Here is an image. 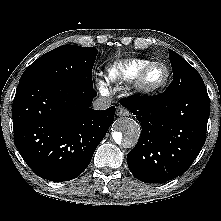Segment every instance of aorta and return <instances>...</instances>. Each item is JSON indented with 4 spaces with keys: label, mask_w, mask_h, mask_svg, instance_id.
<instances>
[{
    "label": "aorta",
    "mask_w": 221,
    "mask_h": 221,
    "mask_svg": "<svg viewBox=\"0 0 221 221\" xmlns=\"http://www.w3.org/2000/svg\"><path fill=\"white\" fill-rule=\"evenodd\" d=\"M140 124L129 117H123L116 121L115 131L112 136L118 145L132 148L136 145L140 136Z\"/></svg>",
    "instance_id": "aorta-1"
}]
</instances>
